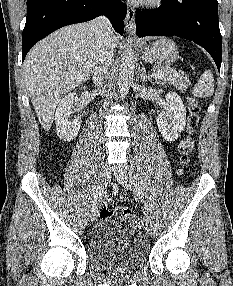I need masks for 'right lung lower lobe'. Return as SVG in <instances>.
I'll use <instances>...</instances> for the list:
<instances>
[{
	"mask_svg": "<svg viewBox=\"0 0 233 286\" xmlns=\"http://www.w3.org/2000/svg\"><path fill=\"white\" fill-rule=\"evenodd\" d=\"M103 13L115 31L122 35L127 6L120 0H27V18L22 34L23 60L36 42L53 31L92 20Z\"/></svg>",
	"mask_w": 233,
	"mask_h": 286,
	"instance_id": "right-lung-lower-lobe-1",
	"label": "right lung lower lobe"
}]
</instances>
